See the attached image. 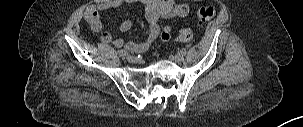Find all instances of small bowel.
Listing matches in <instances>:
<instances>
[{"label": "small bowel", "mask_w": 303, "mask_h": 127, "mask_svg": "<svg viewBox=\"0 0 303 127\" xmlns=\"http://www.w3.org/2000/svg\"><path fill=\"white\" fill-rule=\"evenodd\" d=\"M133 2H140L144 6L145 18L148 24L145 32L146 39L142 42L128 41L125 43L123 35L130 31L132 22L124 20L119 27L122 36L113 39L112 34L105 31L101 35V41L104 44H113L118 49L124 47L127 52L131 53H143L150 48L163 30H169L168 26L160 24L161 19L184 17L189 12L186 4L178 3L175 0H98L86 9L84 18L94 31L100 32L103 30L101 11Z\"/></svg>", "instance_id": "obj_1"}]
</instances>
